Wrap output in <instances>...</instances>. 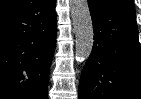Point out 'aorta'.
I'll return each instance as SVG.
<instances>
[{"label":"aorta","mask_w":141,"mask_h":99,"mask_svg":"<svg viewBox=\"0 0 141 99\" xmlns=\"http://www.w3.org/2000/svg\"><path fill=\"white\" fill-rule=\"evenodd\" d=\"M70 10L76 37L75 58L78 62H84L90 56L94 42L88 1L70 0Z\"/></svg>","instance_id":"762f6f07"}]
</instances>
